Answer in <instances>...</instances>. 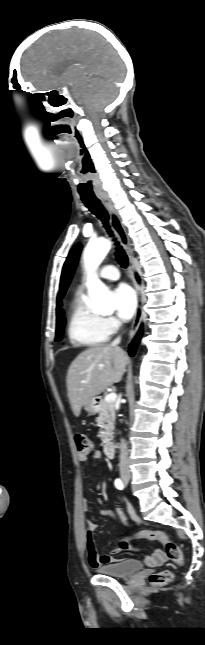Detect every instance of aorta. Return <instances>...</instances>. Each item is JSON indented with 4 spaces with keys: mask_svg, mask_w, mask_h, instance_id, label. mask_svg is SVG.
<instances>
[{
    "mask_svg": "<svg viewBox=\"0 0 205 645\" xmlns=\"http://www.w3.org/2000/svg\"><path fill=\"white\" fill-rule=\"evenodd\" d=\"M110 247L108 240L100 239L89 242L84 252L85 267L89 271L87 286L92 299L91 306L98 313L111 312L115 307L110 292L94 274Z\"/></svg>",
    "mask_w": 205,
    "mask_h": 645,
    "instance_id": "obj_1",
    "label": "aorta"
}]
</instances>
